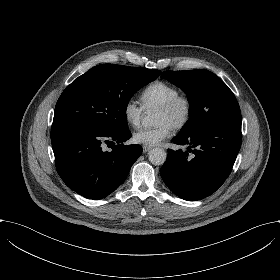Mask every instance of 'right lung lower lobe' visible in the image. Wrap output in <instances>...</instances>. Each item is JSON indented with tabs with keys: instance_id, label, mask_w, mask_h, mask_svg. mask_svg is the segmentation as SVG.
I'll return each mask as SVG.
<instances>
[{
	"instance_id": "1",
	"label": "right lung lower lobe",
	"mask_w": 280,
	"mask_h": 280,
	"mask_svg": "<svg viewBox=\"0 0 280 280\" xmlns=\"http://www.w3.org/2000/svg\"><path fill=\"white\" fill-rule=\"evenodd\" d=\"M131 137L127 128L117 132H98L77 124L52 125L51 142L56 169L65 184L89 199H102L126 179L142 147L120 144ZM105 143L118 145L103 151Z\"/></svg>"
}]
</instances>
